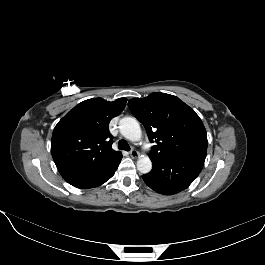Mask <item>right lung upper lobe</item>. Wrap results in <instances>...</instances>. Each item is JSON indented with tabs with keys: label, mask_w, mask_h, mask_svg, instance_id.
I'll list each match as a JSON object with an SVG mask.
<instances>
[{
	"label": "right lung upper lobe",
	"mask_w": 265,
	"mask_h": 265,
	"mask_svg": "<svg viewBox=\"0 0 265 265\" xmlns=\"http://www.w3.org/2000/svg\"><path fill=\"white\" fill-rule=\"evenodd\" d=\"M126 101V98L113 102L102 98L88 99L58 122L51 139V153L58 170L90 163H110L122 156L112 149L109 122L123 111Z\"/></svg>",
	"instance_id": "right-lung-upper-lobe-1"
}]
</instances>
